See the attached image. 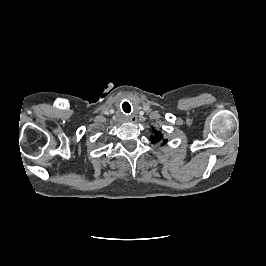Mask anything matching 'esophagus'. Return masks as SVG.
Instances as JSON below:
<instances>
[{"mask_svg":"<svg viewBox=\"0 0 266 266\" xmlns=\"http://www.w3.org/2000/svg\"><path fill=\"white\" fill-rule=\"evenodd\" d=\"M130 121L133 122V123H135V122L137 121V117L134 116V115L131 116V117H130Z\"/></svg>","mask_w":266,"mask_h":266,"instance_id":"1","label":"esophagus"}]
</instances>
